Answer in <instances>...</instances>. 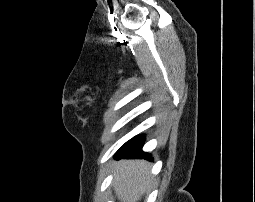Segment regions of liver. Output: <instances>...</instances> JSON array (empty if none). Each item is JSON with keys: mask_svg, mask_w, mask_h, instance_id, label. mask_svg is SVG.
I'll return each instance as SVG.
<instances>
[{"mask_svg": "<svg viewBox=\"0 0 255 202\" xmlns=\"http://www.w3.org/2000/svg\"><path fill=\"white\" fill-rule=\"evenodd\" d=\"M113 180L119 202H138L151 181L149 164L144 160L121 161Z\"/></svg>", "mask_w": 255, "mask_h": 202, "instance_id": "6515ba94", "label": "liver"}]
</instances>
